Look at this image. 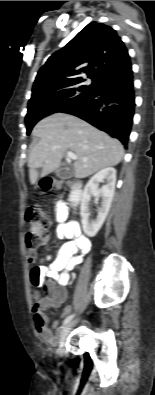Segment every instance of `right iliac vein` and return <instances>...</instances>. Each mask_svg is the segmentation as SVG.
<instances>
[{
    "label": "right iliac vein",
    "mask_w": 155,
    "mask_h": 395,
    "mask_svg": "<svg viewBox=\"0 0 155 395\" xmlns=\"http://www.w3.org/2000/svg\"><path fill=\"white\" fill-rule=\"evenodd\" d=\"M76 323V321H72L68 324H66L63 329L60 332V340H59V348H58V353L59 355L63 354V345H64V341L67 337V335L69 334L70 330L72 329L73 325Z\"/></svg>",
    "instance_id": "obj_1"
}]
</instances>
